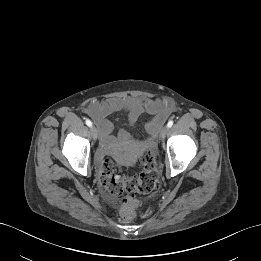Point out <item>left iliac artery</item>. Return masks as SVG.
Here are the masks:
<instances>
[{
	"label": "left iliac artery",
	"mask_w": 261,
	"mask_h": 261,
	"mask_svg": "<svg viewBox=\"0 0 261 261\" xmlns=\"http://www.w3.org/2000/svg\"><path fill=\"white\" fill-rule=\"evenodd\" d=\"M173 123H174L173 120H169L167 123L168 128H171Z\"/></svg>",
	"instance_id": "1"
}]
</instances>
